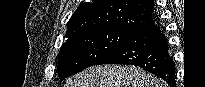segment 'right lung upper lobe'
Wrapping results in <instances>:
<instances>
[{
  "label": "right lung upper lobe",
  "mask_w": 205,
  "mask_h": 87,
  "mask_svg": "<svg viewBox=\"0 0 205 87\" xmlns=\"http://www.w3.org/2000/svg\"><path fill=\"white\" fill-rule=\"evenodd\" d=\"M154 0H92L81 4L68 22V38L96 30L135 32L152 22Z\"/></svg>",
  "instance_id": "1"
}]
</instances>
